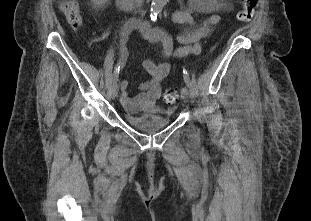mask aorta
<instances>
[{
    "mask_svg": "<svg viewBox=\"0 0 311 221\" xmlns=\"http://www.w3.org/2000/svg\"><path fill=\"white\" fill-rule=\"evenodd\" d=\"M164 4L165 0H153L151 4V18H153V20H156L158 12H161Z\"/></svg>",
    "mask_w": 311,
    "mask_h": 221,
    "instance_id": "aorta-1",
    "label": "aorta"
}]
</instances>
